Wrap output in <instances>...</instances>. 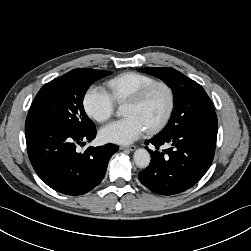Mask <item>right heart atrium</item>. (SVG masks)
I'll use <instances>...</instances> for the list:
<instances>
[{"label":"right heart atrium","mask_w":251,"mask_h":251,"mask_svg":"<svg viewBox=\"0 0 251 251\" xmlns=\"http://www.w3.org/2000/svg\"><path fill=\"white\" fill-rule=\"evenodd\" d=\"M83 108L91 119L103 123L113 115L115 100L102 86L91 85L84 94Z\"/></svg>","instance_id":"obj_1"}]
</instances>
